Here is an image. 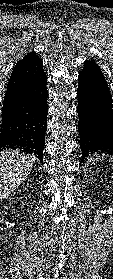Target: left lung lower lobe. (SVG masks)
<instances>
[{"mask_svg": "<svg viewBox=\"0 0 113 279\" xmlns=\"http://www.w3.org/2000/svg\"><path fill=\"white\" fill-rule=\"evenodd\" d=\"M77 113L82 160L94 153L113 154V104L100 67L86 61L78 76Z\"/></svg>", "mask_w": 113, "mask_h": 279, "instance_id": "1", "label": "left lung lower lobe"}]
</instances>
